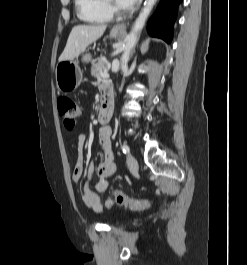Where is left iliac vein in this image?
Here are the masks:
<instances>
[{"instance_id": "left-iliac-vein-1", "label": "left iliac vein", "mask_w": 247, "mask_h": 265, "mask_svg": "<svg viewBox=\"0 0 247 265\" xmlns=\"http://www.w3.org/2000/svg\"><path fill=\"white\" fill-rule=\"evenodd\" d=\"M126 162H127L128 167L131 170L137 171V169H138V163H137V160L132 155L127 154Z\"/></svg>"}]
</instances>
